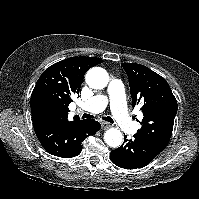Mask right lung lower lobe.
<instances>
[{
	"instance_id": "right-lung-lower-lobe-1",
	"label": "right lung lower lobe",
	"mask_w": 199,
	"mask_h": 199,
	"mask_svg": "<svg viewBox=\"0 0 199 199\" xmlns=\"http://www.w3.org/2000/svg\"><path fill=\"white\" fill-rule=\"evenodd\" d=\"M33 125L44 149L62 158L77 156L82 151L84 139L100 129V123L92 119L67 123L43 121Z\"/></svg>"
}]
</instances>
